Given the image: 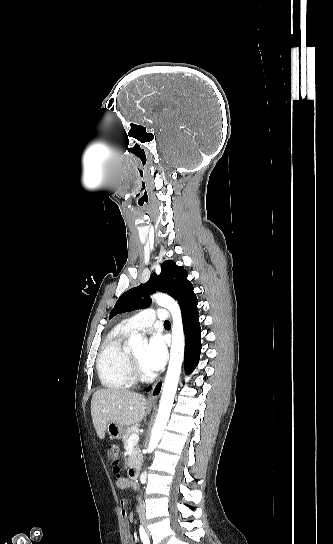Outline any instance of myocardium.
Instances as JSON below:
<instances>
[{"mask_svg":"<svg viewBox=\"0 0 333 544\" xmlns=\"http://www.w3.org/2000/svg\"><path fill=\"white\" fill-rule=\"evenodd\" d=\"M129 361L134 378L144 381L150 377V374L146 370H144V368L141 366L140 362L132 351H129Z\"/></svg>","mask_w":333,"mask_h":544,"instance_id":"obj_1","label":"myocardium"}]
</instances>
